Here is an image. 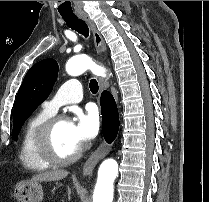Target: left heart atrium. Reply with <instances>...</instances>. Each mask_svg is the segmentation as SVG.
I'll list each match as a JSON object with an SVG mask.
<instances>
[{"instance_id":"obj_1","label":"left heart atrium","mask_w":209,"mask_h":202,"mask_svg":"<svg viewBox=\"0 0 209 202\" xmlns=\"http://www.w3.org/2000/svg\"><path fill=\"white\" fill-rule=\"evenodd\" d=\"M73 140L79 145L94 137L98 131V114L94 109H88L86 113L78 112L69 122Z\"/></svg>"}]
</instances>
